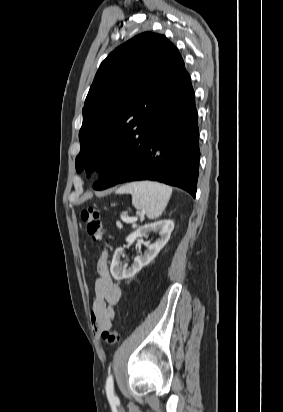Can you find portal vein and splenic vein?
I'll return each mask as SVG.
<instances>
[{"instance_id":"18ae733b","label":"portal vein and splenic vein","mask_w":283,"mask_h":412,"mask_svg":"<svg viewBox=\"0 0 283 412\" xmlns=\"http://www.w3.org/2000/svg\"><path fill=\"white\" fill-rule=\"evenodd\" d=\"M121 219L125 223H132V224H135L137 221L136 217L121 216Z\"/></svg>"}]
</instances>
